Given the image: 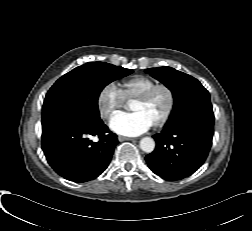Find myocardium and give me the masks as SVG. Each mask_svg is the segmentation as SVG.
Returning a JSON list of instances; mask_svg holds the SVG:
<instances>
[{"mask_svg":"<svg viewBox=\"0 0 252 231\" xmlns=\"http://www.w3.org/2000/svg\"><path fill=\"white\" fill-rule=\"evenodd\" d=\"M159 90H164L166 92L168 97V104L163 115L156 122L153 123L154 127L164 126L171 118L176 106V96L173 89L167 84L157 83L151 88H149L147 91H145L143 94L135 98V100L137 101L146 103L149 102L151 98L155 95V93Z\"/></svg>","mask_w":252,"mask_h":231,"instance_id":"f54148a6","label":"myocardium"}]
</instances>
